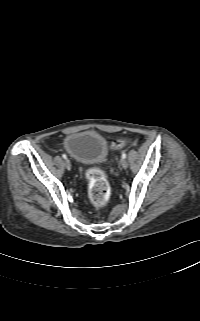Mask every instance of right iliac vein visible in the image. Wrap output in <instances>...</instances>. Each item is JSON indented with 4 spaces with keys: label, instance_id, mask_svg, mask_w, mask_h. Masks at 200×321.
I'll return each instance as SVG.
<instances>
[{
    "label": "right iliac vein",
    "instance_id": "1",
    "mask_svg": "<svg viewBox=\"0 0 200 321\" xmlns=\"http://www.w3.org/2000/svg\"><path fill=\"white\" fill-rule=\"evenodd\" d=\"M64 164H65V167H66L67 169H70V168H71V163H70L69 159H65Z\"/></svg>",
    "mask_w": 200,
    "mask_h": 321
}]
</instances>
